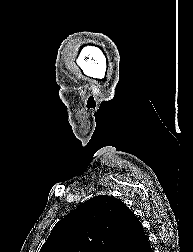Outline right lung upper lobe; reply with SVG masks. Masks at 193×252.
Returning a JSON list of instances; mask_svg holds the SVG:
<instances>
[{
	"label": "right lung upper lobe",
	"mask_w": 193,
	"mask_h": 252,
	"mask_svg": "<svg viewBox=\"0 0 193 252\" xmlns=\"http://www.w3.org/2000/svg\"><path fill=\"white\" fill-rule=\"evenodd\" d=\"M144 234L121 200L100 195L60 220L40 252H129Z\"/></svg>",
	"instance_id": "cb5924a9"
}]
</instances>
